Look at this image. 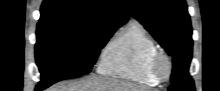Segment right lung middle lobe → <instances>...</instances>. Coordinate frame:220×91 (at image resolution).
<instances>
[{"label": "right lung middle lobe", "instance_id": "1", "mask_svg": "<svg viewBox=\"0 0 220 91\" xmlns=\"http://www.w3.org/2000/svg\"><path fill=\"white\" fill-rule=\"evenodd\" d=\"M116 29L82 24L38 25L35 56L42 75L38 86L48 87L89 73Z\"/></svg>", "mask_w": 220, "mask_h": 91}]
</instances>
